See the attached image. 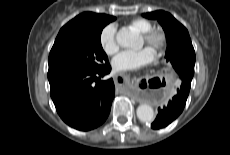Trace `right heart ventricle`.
Returning a JSON list of instances; mask_svg holds the SVG:
<instances>
[{
    "label": "right heart ventricle",
    "instance_id": "1",
    "mask_svg": "<svg viewBox=\"0 0 230 155\" xmlns=\"http://www.w3.org/2000/svg\"><path fill=\"white\" fill-rule=\"evenodd\" d=\"M128 25L138 33H144L153 27L149 20L140 17L131 19Z\"/></svg>",
    "mask_w": 230,
    "mask_h": 155
}]
</instances>
